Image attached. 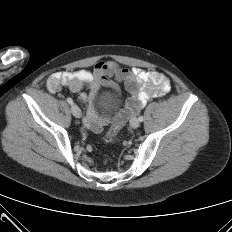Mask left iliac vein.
I'll use <instances>...</instances> for the list:
<instances>
[{"mask_svg": "<svg viewBox=\"0 0 232 232\" xmlns=\"http://www.w3.org/2000/svg\"><path fill=\"white\" fill-rule=\"evenodd\" d=\"M139 124H140L139 120L135 117L130 120V125L133 128H137L139 126Z\"/></svg>", "mask_w": 232, "mask_h": 232, "instance_id": "obj_1", "label": "left iliac vein"}]
</instances>
